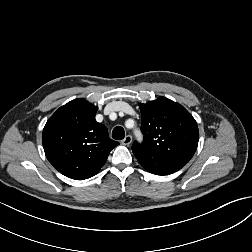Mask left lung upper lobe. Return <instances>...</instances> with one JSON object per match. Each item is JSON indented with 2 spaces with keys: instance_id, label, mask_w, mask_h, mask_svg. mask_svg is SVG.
Wrapping results in <instances>:
<instances>
[{
  "instance_id": "obj_1",
  "label": "left lung upper lobe",
  "mask_w": 252,
  "mask_h": 252,
  "mask_svg": "<svg viewBox=\"0 0 252 252\" xmlns=\"http://www.w3.org/2000/svg\"><path fill=\"white\" fill-rule=\"evenodd\" d=\"M142 114V144L134 142L132 151L137 159L180 158L189 161L199 140L197 123L180 104L159 97L139 104Z\"/></svg>"
}]
</instances>
